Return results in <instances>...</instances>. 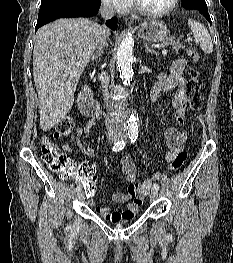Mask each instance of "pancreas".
<instances>
[{
    "label": "pancreas",
    "instance_id": "1",
    "mask_svg": "<svg viewBox=\"0 0 233 263\" xmlns=\"http://www.w3.org/2000/svg\"><path fill=\"white\" fill-rule=\"evenodd\" d=\"M166 46H172V50L171 51L174 52V53H178L179 50L181 48H183L182 45L180 44V42L178 40H175L174 37H171V38L166 39V40L163 41L162 47H166Z\"/></svg>",
    "mask_w": 233,
    "mask_h": 263
}]
</instances>
